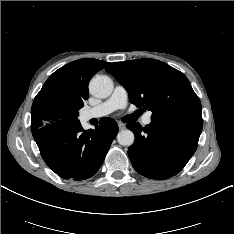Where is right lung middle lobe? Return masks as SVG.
<instances>
[{"instance_id": "dd1d6c3e", "label": "right lung middle lobe", "mask_w": 234, "mask_h": 234, "mask_svg": "<svg viewBox=\"0 0 234 234\" xmlns=\"http://www.w3.org/2000/svg\"><path fill=\"white\" fill-rule=\"evenodd\" d=\"M73 121H78V118L76 117L75 119H73Z\"/></svg>"}]
</instances>
